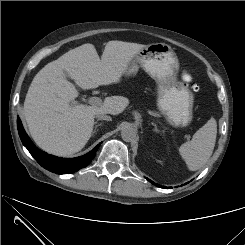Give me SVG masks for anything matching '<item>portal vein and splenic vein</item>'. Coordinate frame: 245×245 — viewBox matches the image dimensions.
I'll return each instance as SVG.
<instances>
[{"label":"portal vein and splenic vein","mask_w":245,"mask_h":245,"mask_svg":"<svg viewBox=\"0 0 245 245\" xmlns=\"http://www.w3.org/2000/svg\"><path fill=\"white\" fill-rule=\"evenodd\" d=\"M88 103L96 106H101L103 104L102 99L99 97H90Z\"/></svg>","instance_id":"1"}]
</instances>
